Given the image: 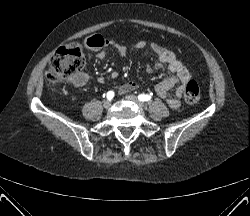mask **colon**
<instances>
[{
  "label": "colon",
  "mask_w": 250,
  "mask_h": 216,
  "mask_svg": "<svg viewBox=\"0 0 250 216\" xmlns=\"http://www.w3.org/2000/svg\"><path fill=\"white\" fill-rule=\"evenodd\" d=\"M84 66L85 60L77 45L63 46L52 57L46 76L51 84H58L70 79ZM184 98L189 104H195L200 100V88L196 81L190 80L187 83Z\"/></svg>",
  "instance_id": "obj_1"
}]
</instances>
